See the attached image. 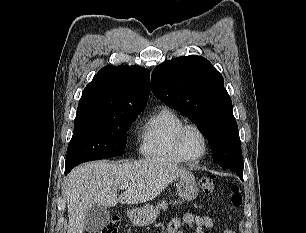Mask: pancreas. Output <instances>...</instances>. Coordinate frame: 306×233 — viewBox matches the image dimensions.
<instances>
[{"mask_svg": "<svg viewBox=\"0 0 306 233\" xmlns=\"http://www.w3.org/2000/svg\"><path fill=\"white\" fill-rule=\"evenodd\" d=\"M170 203H171V202H170ZM157 207H158L159 209L165 210V209L168 207V203L165 202V201H161L160 203H158Z\"/></svg>", "mask_w": 306, "mask_h": 233, "instance_id": "obj_1", "label": "pancreas"}]
</instances>
